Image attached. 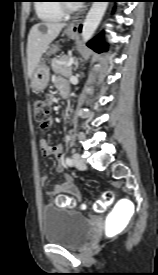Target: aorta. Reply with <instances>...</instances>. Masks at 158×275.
<instances>
[{"instance_id": "aorta-1", "label": "aorta", "mask_w": 158, "mask_h": 275, "mask_svg": "<svg viewBox=\"0 0 158 275\" xmlns=\"http://www.w3.org/2000/svg\"><path fill=\"white\" fill-rule=\"evenodd\" d=\"M107 5V2H93L82 27L81 36L84 42H87L93 36L104 16Z\"/></svg>"}]
</instances>
